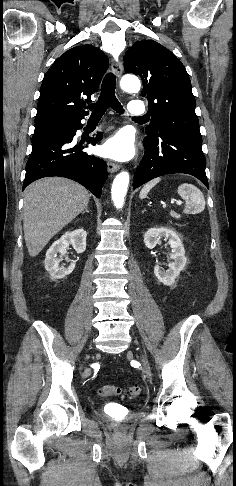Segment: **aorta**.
<instances>
[{
  "mask_svg": "<svg viewBox=\"0 0 236 486\" xmlns=\"http://www.w3.org/2000/svg\"><path fill=\"white\" fill-rule=\"evenodd\" d=\"M121 88L130 93H135L140 90V81L135 76H124L121 79ZM129 173L126 171L120 172L114 179L111 189L112 200L116 208L121 209L125 202V196L129 185Z\"/></svg>",
  "mask_w": 236,
  "mask_h": 486,
  "instance_id": "aorta-1",
  "label": "aorta"
}]
</instances>
